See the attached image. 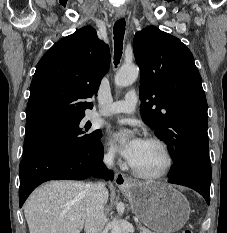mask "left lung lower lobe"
Listing matches in <instances>:
<instances>
[{
	"label": "left lung lower lobe",
	"instance_id": "1",
	"mask_svg": "<svg viewBox=\"0 0 227 233\" xmlns=\"http://www.w3.org/2000/svg\"><path fill=\"white\" fill-rule=\"evenodd\" d=\"M170 183L179 184L183 186H187L189 188L194 189L199 192L206 200V202L210 203V181H208L204 177L187 175V176H171L170 175Z\"/></svg>",
	"mask_w": 227,
	"mask_h": 233
}]
</instances>
